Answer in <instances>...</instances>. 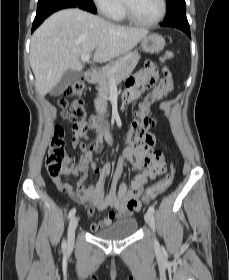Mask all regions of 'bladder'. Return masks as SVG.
<instances>
[{
	"mask_svg": "<svg viewBox=\"0 0 229 280\" xmlns=\"http://www.w3.org/2000/svg\"><path fill=\"white\" fill-rule=\"evenodd\" d=\"M138 221L135 218H125L116 221L108 228L94 231V235L105 239L114 240L119 238H124L132 236L137 229Z\"/></svg>",
	"mask_w": 229,
	"mask_h": 280,
	"instance_id": "31cf9c89",
	"label": "bladder"
}]
</instances>
